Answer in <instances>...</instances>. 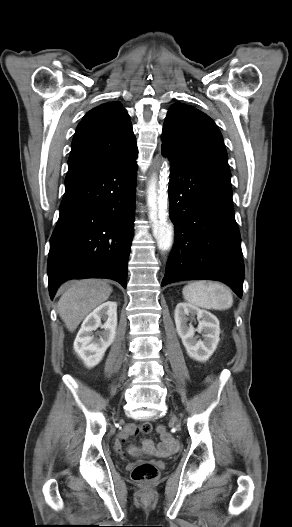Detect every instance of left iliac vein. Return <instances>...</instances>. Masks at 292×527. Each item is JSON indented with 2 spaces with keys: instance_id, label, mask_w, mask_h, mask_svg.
Segmentation results:
<instances>
[{
  "instance_id": "left-iliac-vein-1",
  "label": "left iliac vein",
  "mask_w": 292,
  "mask_h": 527,
  "mask_svg": "<svg viewBox=\"0 0 292 527\" xmlns=\"http://www.w3.org/2000/svg\"><path fill=\"white\" fill-rule=\"evenodd\" d=\"M172 420H173L174 422H177V419H176L175 416H172Z\"/></svg>"
}]
</instances>
